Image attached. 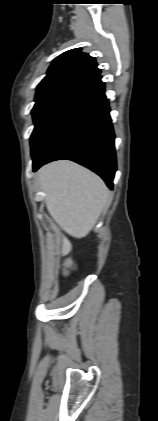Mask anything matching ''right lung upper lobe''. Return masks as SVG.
Returning a JSON list of instances; mask_svg holds the SVG:
<instances>
[{
	"label": "right lung upper lobe",
	"mask_w": 158,
	"mask_h": 421,
	"mask_svg": "<svg viewBox=\"0 0 158 421\" xmlns=\"http://www.w3.org/2000/svg\"><path fill=\"white\" fill-rule=\"evenodd\" d=\"M100 73L95 59L80 48L64 52L55 58L47 75L39 83L37 90L60 84H75L82 86Z\"/></svg>",
	"instance_id": "1"
}]
</instances>
